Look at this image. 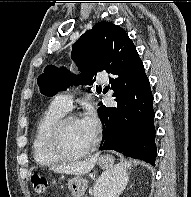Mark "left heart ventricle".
<instances>
[{
	"mask_svg": "<svg viewBox=\"0 0 191 197\" xmlns=\"http://www.w3.org/2000/svg\"><path fill=\"white\" fill-rule=\"evenodd\" d=\"M92 141L82 129L79 120L67 123L63 129L62 144L71 154L82 152Z\"/></svg>",
	"mask_w": 191,
	"mask_h": 197,
	"instance_id": "obj_1",
	"label": "left heart ventricle"
}]
</instances>
